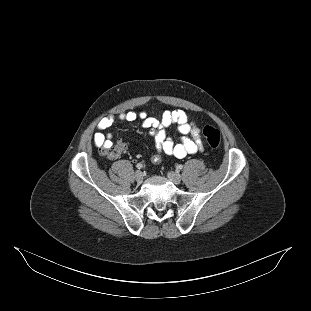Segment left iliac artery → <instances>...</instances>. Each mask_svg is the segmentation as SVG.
Here are the masks:
<instances>
[{
	"label": "left iliac artery",
	"instance_id": "left-iliac-artery-1",
	"mask_svg": "<svg viewBox=\"0 0 311 311\" xmlns=\"http://www.w3.org/2000/svg\"><path fill=\"white\" fill-rule=\"evenodd\" d=\"M183 168V165H181V164H178L177 166H176V170H181Z\"/></svg>",
	"mask_w": 311,
	"mask_h": 311
}]
</instances>
